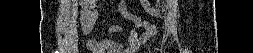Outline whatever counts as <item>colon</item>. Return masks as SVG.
<instances>
[{"label": "colon", "mask_w": 253, "mask_h": 53, "mask_svg": "<svg viewBox=\"0 0 253 53\" xmlns=\"http://www.w3.org/2000/svg\"><path fill=\"white\" fill-rule=\"evenodd\" d=\"M83 3L93 2V1H82ZM90 19V10L89 8L85 7L82 11L81 15V23L86 24Z\"/></svg>", "instance_id": "obj_1"}]
</instances>
